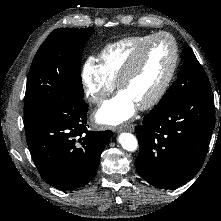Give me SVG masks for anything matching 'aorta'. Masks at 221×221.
Instances as JSON below:
<instances>
[{
	"instance_id": "aorta-1",
	"label": "aorta",
	"mask_w": 221,
	"mask_h": 221,
	"mask_svg": "<svg viewBox=\"0 0 221 221\" xmlns=\"http://www.w3.org/2000/svg\"><path fill=\"white\" fill-rule=\"evenodd\" d=\"M120 145L127 151H135L138 147L136 137L131 133H121L118 137Z\"/></svg>"
}]
</instances>
